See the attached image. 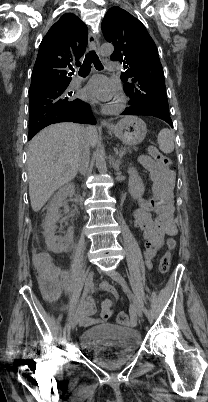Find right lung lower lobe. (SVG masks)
<instances>
[{
  "label": "right lung lower lobe",
  "mask_w": 208,
  "mask_h": 402,
  "mask_svg": "<svg viewBox=\"0 0 208 402\" xmlns=\"http://www.w3.org/2000/svg\"><path fill=\"white\" fill-rule=\"evenodd\" d=\"M59 122L96 124V120L91 113V107L89 104L81 101L79 106L73 110L44 114L33 120H29V140L44 127Z\"/></svg>",
  "instance_id": "obj_1"
}]
</instances>
